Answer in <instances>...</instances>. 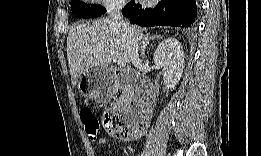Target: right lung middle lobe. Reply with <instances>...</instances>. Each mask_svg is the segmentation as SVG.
Returning <instances> with one entry per match:
<instances>
[{
	"mask_svg": "<svg viewBox=\"0 0 261 156\" xmlns=\"http://www.w3.org/2000/svg\"><path fill=\"white\" fill-rule=\"evenodd\" d=\"M71 8L72 11L77 13L78 17L84 18H94L106 12V9L100 5L88 6L86 4L77 3L74 0L71 2Z\"/></svg>",
	"mask_w": 261,
	"mask_h": 156,
	"instance_id": "right-lung-middle-lobe-1",
	"label": "right lung middle lobe"
}]
</instances>
